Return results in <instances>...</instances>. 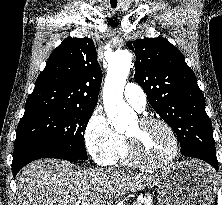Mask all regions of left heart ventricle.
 Masks as SVG:
<instances>
[{
  "label": "left heart ventricle",
  "mask_w": 222,
  "mask_h": 205,
  "mask_svg": "<svg viewBox=\"0 0 222 205\" xmlns=\"http://www.w3.org/2000/svg\"><path fill=\"white\" fill-rule=\"evenodd\" d=\"M126 135L137 140L142 155L150 160H163L173 150V142L169 133L158 124L141 125L136 120L129 127Z\"/></svg>",
  "instance_id": "1"
}]
</instances>
